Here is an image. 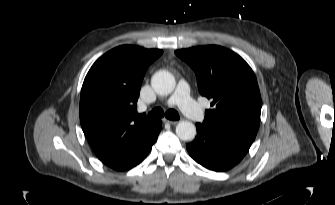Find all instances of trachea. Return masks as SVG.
<instances>
[{
  "mask_svg": "<svg viewBox=\"0 0 335 205\" xmlns=\"http://www.w3.org/2000/svg\"><path fill=\"white\" fill-rule=\"evenodd\" d=\"M150 117H163L165 115L166 118L170 120H179V114L176 110L169 109L164 113V111L160 107L154 108L151 112L148 113Z\"/></svg>",
  "mask_w": 335,
  "mask_h": 205,
  "instance_id": "3493384b",
  "label": "trachea"
}]
</instances>
